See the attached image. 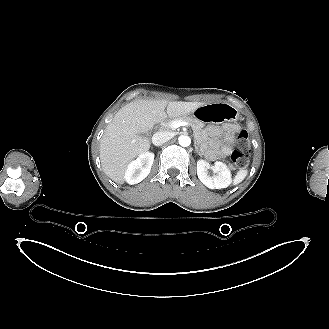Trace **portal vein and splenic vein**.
<instances>
[{
  "mask_svg": "<svg viewBox=\"0 0 329 329\" xmlns=\"http://www.w3.org/2000/svg\"><path fill=\"white\" fill-rule=\"evenodd\" d=\"M189 124L187 122H184V121H174L171 123L170 127L172 129H177L179 127H182V126H188Z\"/></svg>",
  "mask_w": 329,
  "mask_h": 329,
  "instance_id": "18ae733b",
  "label": "portal vein and splenic vein"
}]
</instances>
